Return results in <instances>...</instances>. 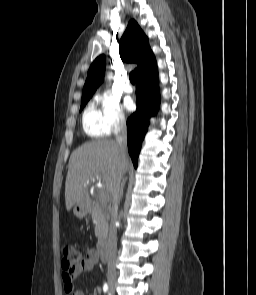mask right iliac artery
<instances>
[{"label":"right iliac artery","instance_id":"right-iliac-artery-1","mask_svg":"<svg viewBox=\"0 0 256 295\" xmlns=\"http://www.w3.org/2000/svg\"><path fill=\"white\" fill-rule=\"evenodd\" d=\"M103 291L106 293L108 291V285L107 283L104 284L103 286Z\"/></svg>","mask_w":256,"mask_h":295}]
</instances>
